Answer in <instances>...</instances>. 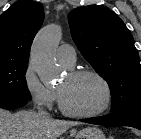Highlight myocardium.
Masks as SVG:
<instances>
[{
    "instance_id": "1",
    "label": "myocardium",
    "mask_w": 141,
    "mask_h": 139,
    "mask_svg": "<svg viewBox=\"0 0 141 139\" xmlns=\"http://www.w3.org/2000/svg\"><path fill=\"white\" fill-rule=\"evenodd\" d=\"M68 75L72 79L85 77V76H91V77L96 78L103 85L106 96H105V102L100 109L94 112H90V113H82V112H77V111L70 109L64 100L62 92L57 89L59 107H60V110L65 115L74 117V118L90 119V118L100 117L104 115L110 109L112 105V101H113V92H112L110 83L102 74H100L99 72L95 70H91V69H79V70L70 71Z\"/></svg>"
}]
</instances>
